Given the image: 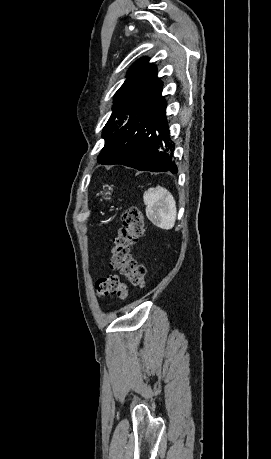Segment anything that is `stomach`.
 Listing matches in <instances>:
<instances>
[{
	"label": "stomach",
	"instance_id": "obj_1",
	"mask_svg": "<svg viewBox=\"0 0 271 459\" xmlns=\"http://www.w3.org/2000/svg\"><path fill=\"white\" fill-rule=\"evenodd\" d=\"M112 192V190H111ZM111 192H105V194H102V196H106V198H104V200H110V198H108V196H110Z\"/></svg>",
	"mask_w": 271,
	"mask_h": 459
}]
</instances>
